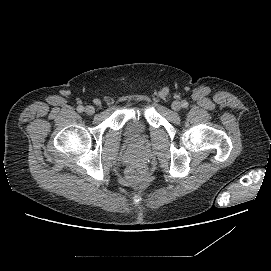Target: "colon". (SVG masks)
<instances>
[{"label": "colon", "instance_id": "1", "mask_svg": "<svg viewBox=\"0 0 271 271\" xmlns=\"http://www.w3.org/2000/svg\"><path fill=\"white\" fill-rule=\"evenodd\" d=\"M145 177V169L142 165L133 164L127 169V179L131 183H139Z\"/></svg>", "mask_w": 271, "mask_h": 271}]
</instances>
